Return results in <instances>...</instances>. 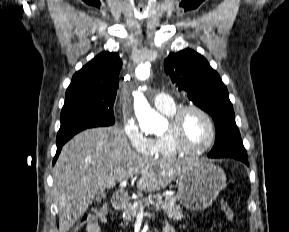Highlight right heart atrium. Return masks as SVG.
Instances as JSON below:
<instances>
[{
	"label": "right heart atrium",
	"mask_w": 289,
	"mask_h": 232,
	"mask_svg": "<svg viewBox=\"0 0 289 232\" xmlns=\"http://www.w3.org/2000/svg\"><path fill=\"white\" fill-rule=\"evenodd\" d=\"M122 130L131 149L143 156H149L153 150V139L148 137L131 115L125 114L122 119Z\"/></svg>",
	"instance_id": "1"
}]
</instances>
